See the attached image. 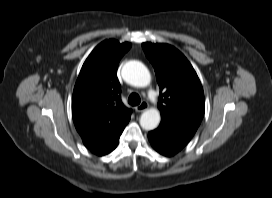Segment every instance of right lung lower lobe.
Returning a JSON list of instances; mask_svg holds the SVG:
<instances>
[{"label": "right lung lower lobe", "instance_id": "1", "mask_svg": "<svg viewBox=\"0 0 272 198\" xmlns=\"http://www.w3.org/2000/svg\"><path fill=\"white\" fill-rule=\"evenodd\" d=\"M129 120L130 118L123 122L104 142L91 148L90 150L99 156L108 154L113 151L118 145L119 137Z\"/></svg>", "mask_w": 272, "mask_h": 198}]
</instances>
